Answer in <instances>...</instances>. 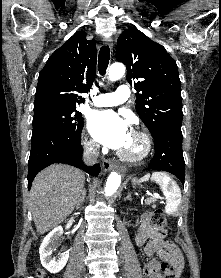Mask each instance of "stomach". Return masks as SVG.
Wrapping results in <instances>:
<instances>
[{
  "label": "stomach",
  "mask_w": 221,
  "mask_h": 278,
  "mask_svg": "<svg viewBox=\"0 0 221 278\" xmlns=\"http://www.w3.org/2000/svg\"><path fill=\"white\" fill-rule=\"evenodd\" d=\"M136 183H137L136 179H133V180H132V184L135 186Z\"/></svg>",
  "instance_id": "1"
}]
</instances>
